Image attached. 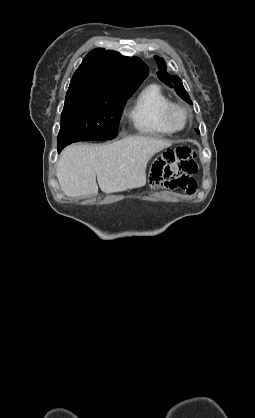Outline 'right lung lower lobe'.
<instances>
[{
	"instance_id": "right-lung-lower-lobe-1",
	"label": "right lung lower lobe",
	"mask_w": 255,
	"mask_h": 418,
	"mask_svg": "<svg viewBox=\"0 0 255 418\" xmlns=\"http://www.w3.org/2000/svg\"><path fill=\"white\" fill-rule=\"evenodd\" d=\"M67 144H58V153L66 146Z\"/></svg>"
}]
</instances>
